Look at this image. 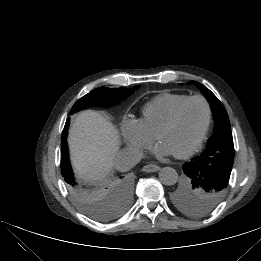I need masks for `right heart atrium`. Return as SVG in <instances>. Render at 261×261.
Returning <instances> with one entry per match:
<instances>
[{"instance_id": "d8ad5b80", "label": "right heart atrium", "mask_w": 261, "mask_h": 261, "mask_svg": "<svg viewBox=\"0 0 261 261\" xmlns=\"http://www.w3.org/2000/svg\"><path fill=\"white\" fill-rule=\"evenodd\" d=\"M122 135L125 143L140 150H147L154 137L146 133L136 120L125 119L122 124Z\"/></svg>"}]
</instances>
